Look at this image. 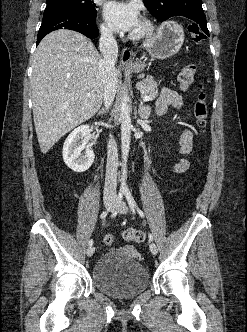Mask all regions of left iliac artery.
Masks as SVG:
<instances>
[{"instance_id": "left-iliac-artery-1", "label": "left iliac artery", "mask_w": 247, "mask_h": 332, "mask_svg": "<svg viewBox=\"0 0 247 332\" xmlns=\"http://www.w3.org/2000/svg\"><path fill=\"white\" fill-rule=\"evenodd\" d=\"M124 193H125L126 200H127L128 204H129V206H130L131 208L136 209L137 212H138V214H139L141 217H144V213H143V211L137 206V203H136V201L134 200V198H133L131 192L129 191V189H126V190L124 191ZM148 237H149V239H150L151 241H153V235H152L151 233H149Z\"/></svg>"}]
</instances>
